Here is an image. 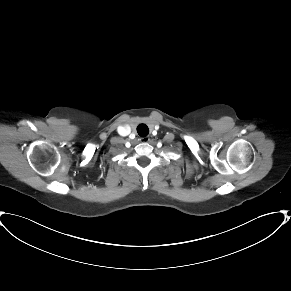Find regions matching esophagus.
<instances>
[{
    "label": "esophagus",
    "instance_id": "1",
    "mask_svg": "<svg viewBox=\"0 0 291 291\" xmlns=\"http://www.w3.org/2000/svg\"><path fill=\"white\" fill-rule=\"evenodd\" d=\"M139 140H140L141 142L147 143V142L150 141V138L146 136V137H141Z\"/></svg>",
    "mask_w": 291,
    "mask_h": 291
}]
</instances>
